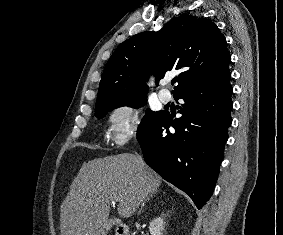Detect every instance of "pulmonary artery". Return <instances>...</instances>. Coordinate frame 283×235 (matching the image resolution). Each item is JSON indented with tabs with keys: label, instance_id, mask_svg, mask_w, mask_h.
<instances>
[{
	"label": "pulmonary artery",
	"instance_id": "1",
	"mask_svg": "<svg viewBox=\"0 0 283 235\" xmlns=\"http://www.w3.org/2000/svg\"><path fill=\"white\" fill-rule=\"evenodd\" d=\"M166 84H167V83L164 82L162 85L164 86V85H166ZM158 97H159V99H160L161 102H163V103H168V102L171 101L172 95H171V93H170L168 90H166V89H161V90H159V92H158Z\"/></svg>",
	"mask_w": 283,
	"mask_h": 235
}]
</instances>
